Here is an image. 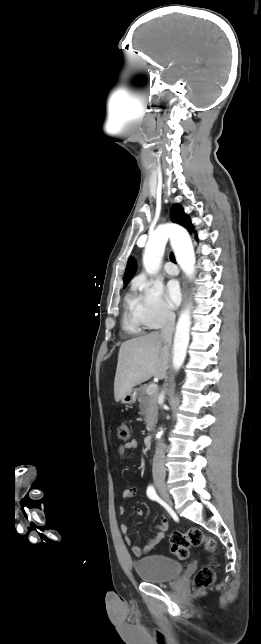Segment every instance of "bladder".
<instances>
[{"mask_svg":"<svg viewBox=\"0 0 261 644\" xmlns=\"http://www.w3.org/2000/svg\"><path fill=\"white\" fill-rule=\"evenodd\" d=\"M133 568L142 581L149 583L170 581L178 577L183 570L179 561L163 555L142 557L134 561Z\"/></svg>","mask_w":261,"mask_h":644,"instance_id":"bladder-1","label":"bladder"}]
</instances>
